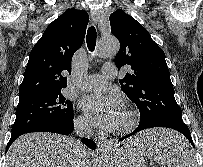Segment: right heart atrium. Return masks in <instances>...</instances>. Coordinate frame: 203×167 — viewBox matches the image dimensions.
Instances as JSON below:
<instances>
[{
    "label": "right heart atrium",
    "instance_id": "1",
    "mask_svg": "<svg viewBox=\"0 0 203 167\" xmlns=\"http://www.w3.org/2000/svg\"><path fill=\"white\" fill-rule=\"evenodd\" d=\"M76 126L77 128L81 129V130H88L91 126L89 120L83 116V115H80L76 118Z\"/></svg>",
    "mask_w": 203,
    "mask_h": 167
}]
</instances>
